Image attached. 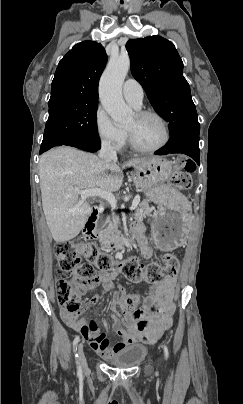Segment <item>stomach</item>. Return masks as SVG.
I'll use <instances>...</instances> for the list:
<instances>
[{"instance_id":"obj_1","label":"stomach","mask_w":243,"mask_h":404,"mask_svg":"<svg viewBox=\"0 0 243 404\" xmlns=\"http://www.w3.org/2000/svg\"><path fill=\"white\" fill-rule=\"evenodd\" d=\"M172 174V164L162 157H151L134 166L135 185L146 191L148 201L158 205L152 216L151 231L157 247L172 251L185 240L192 222L188 199L166 184Z\"/></svg>"}]
</instances>
